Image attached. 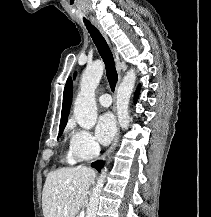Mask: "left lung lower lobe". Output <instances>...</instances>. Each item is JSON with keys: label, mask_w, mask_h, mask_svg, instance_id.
<instances>
[{"label": "left lung lower lobe", "mask_w": 211, "mask_h": 217, "mask_svg": "<svg viewBox=\"0 0 211 217\" xmlns=\"http://www.w3.org/2000/svg\"><path fill=\"white\" fill-rule=\"evenodd\" d=\"M140 87L137 88L136 93H135V101L137 100V97L139 95Z\"/></svg>", "instance_id": "obj_1"}]
</instances>
